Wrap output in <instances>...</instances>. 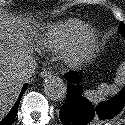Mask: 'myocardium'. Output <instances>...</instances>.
<instances>
[{"label": "myocardium", "mask_w": 125, "mask_h": 125, "mask_svg": "<svg viewBox=\"0 0 125 125\" xmlns=\"http://www.w3.org/2000/svg\"><path fill=\"white\" fill-rule=\"evenodd\" d=\"M98 45V31L88 29L64 49V59L70 64H77L90 59L95 54Z\"/></svg>", "instance_id": "1"}]
</instances>
